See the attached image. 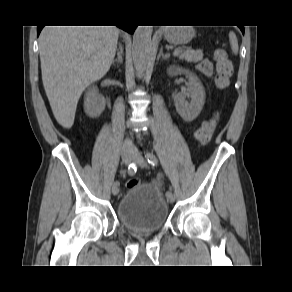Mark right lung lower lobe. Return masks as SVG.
I'll list each match as a JSON object with an SVG mask.
<instances>
[{
  "mask_svg": "<svg viewBox=\"0 0 292 292\" xmlns=\"http://www.w3.org/2000/svg\"><path fill=\"white\" fill-rule=\"evenodd\" d=\"M118 27L122 28L123 30L133 34L136 26L134 25H130V24H122V25H118ZM43 26H37V34L39 35L41 30H42Z\"/></svg>",
  "mask_w": 292,
  "mask_h": 292,
  "instance_id": "98d812e1",
  "label": "right lung lower lobe"
}]
</instances>
